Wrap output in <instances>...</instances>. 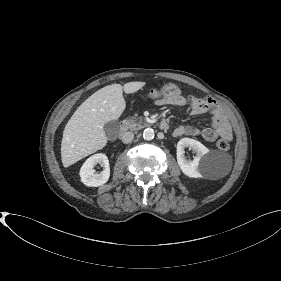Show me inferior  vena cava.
Instances as JSON below:
<instances>
[{"mask_svg":"<svg viewBox=\"0 0 281 281\" xmlns=\"http://www.w3.org/2000/svg\"><path fill=\"white\" fill-rule=\"evenodd\" d=\"M134 138V134L132 132H125L121 135V140L123 143L128 144Z\"/></svg>","mask_w":281,"mask_h":281,"instance_id":"obj_1","label":"inferior vena cava"}]
</instances>
